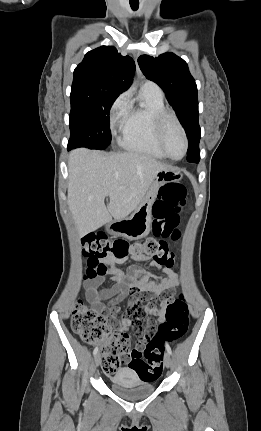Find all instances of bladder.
<instances>
[{
  "instance_id": "obj_1",
  "label": "bladder",
  "mask_w": 261,
  "mask_h": 431,
  "mask_svg": "<svg viewBox=\"0 0 261 431\" xmlns=\"http://www.w3.org/2000/svg\"><path fill=\"white\" fill-rule=\"evenodd\" d=\"M111 389L127 399L149 396L155 390L154 382L139 377L132 369L123 368L110 378Z\"/></svg>"
}]
</instances>
